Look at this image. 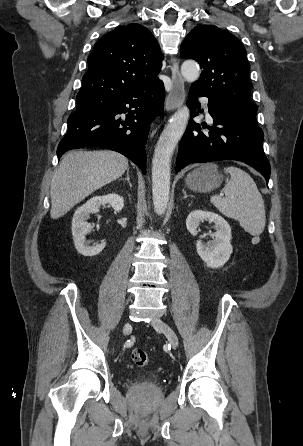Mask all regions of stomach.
Returning a JSON list of instances; mask_svg holds the SVG:
<instances>
[{
	"label": "stomach",
	"instance_id": "1",
	"mask_svg": "<svg viewBox=\"0 0 303 446\" xmlns=\"http://www.w3.org/2000/svg\"><path fill=\"white\" fill-rule=\"evenodd\" d=\"M223 181L222 174L214 164H204L190 172L186 177V185L196 192H209Z\"/></svg>",
	"mask_w": 303,
	"mask_h": 446
}]
</instances>
